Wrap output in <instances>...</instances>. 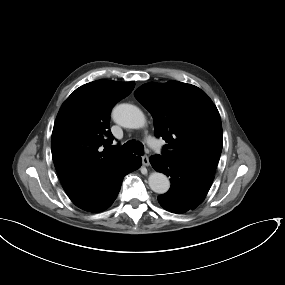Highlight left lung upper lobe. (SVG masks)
<instances>
[{"mask_svg": "<svg viewBox=\"0 0 285 285\" xmlns=\"http://www.w3.org/2000/svg\"><path fill=\"white\" fill-rule=\"evenodd\" d=\"M134 95L168 144L162 157L214 175L222 151L219 112L200 88L178 81L146 83Z\"/></svg>", "mask_w": 285, "mask_h": 285, "instance_id": "1", "label": "left lung upper lobe"}]
</instances>
